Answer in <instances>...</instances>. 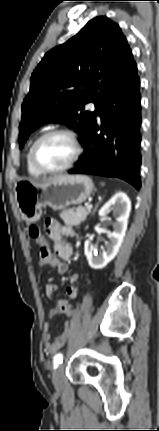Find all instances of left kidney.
<instances>
[{
    "label": "left kidney",
    "mask_w": 159,
    "mask_h": 431,
    "mask_svg": "<svg viewBox=\"0 0 159 431\" xmlns=\"http://www.w3.org/2000/svg\"><path fill=\"white\" fill-rule=\"evenodd\" d=\"M113 211L116 215V223L113 232L107 234L109 242L101 254L95 250L89 240L84 244V252L89 266L93 269H102L117 255L127 230L128 218L131 210V202L124 192L116 193L100 210L99 216L106 217L108 212Z\"/></svg>",
    "instance_id": "1"
}]
</instances>
